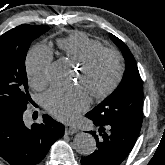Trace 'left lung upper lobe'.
<instances>
[{"label":"left lung upper lobe","instance_id":"1","mask_svg":"<svg viewBox=\"0 0 165 165\" xmlns=\"http://www.w3.org/2000/svg\"><path fill=\"white\" fill-rule=\"evenodd\" d=\"M109 36L122 51L126 70L110 97L86 115L100 122H116L141 129L143 87L136 61L123 41L111 33Z\"/></svg>","mask_w":165,"mask_h":165}]
</instances>
